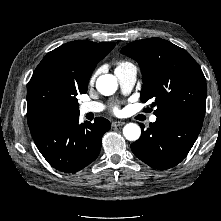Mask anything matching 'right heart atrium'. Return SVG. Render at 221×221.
Wrapping results in <instances>:
<instances>
[{
	"mask_svg": "<svg viewBox=\"0 0 221 221\" xmlns=\"http://www.w3.org/2000/svg\"><path fill=\"white\" fill-rule=\"evenodd\" d=\"M95 77H96V73L92 75L90 81H91V82L94 81Z\"/></svg>",
	"mask_w": 221,
	"mask_h": 221,
	"instance_id": "obj_1",
	"label": "right heart atrium"
}]
</instances>
